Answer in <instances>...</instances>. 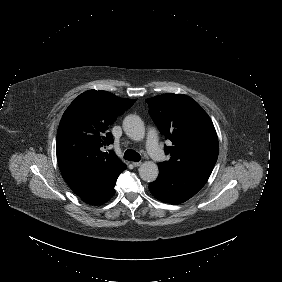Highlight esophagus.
I'll return each mask as SVG.
<instances>
[{
    "label": "esophagus",
    "mask_w": 282,
    "mask_h": 282,
    "mask_svg": "<svg viewBox=\"0 0 282 282\" xmlns=\"http://www.w3.org/2000/svg\"><path fill=\"white\" fill-rule=\"evenodd\" d=\"M132 164H133L134 167H139V166H141L142 162L141 161L132 162Z\"/></svg>",
    "instance_id": "34e87169"
}]
</instances>
